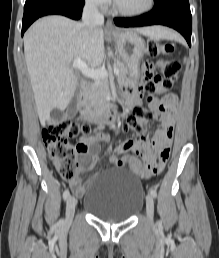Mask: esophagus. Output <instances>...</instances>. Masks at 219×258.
<instances>
[{"instance_id":"34e87169","label":"esophagus","mask_w":219,"mask_h":258,"mask_svg":"<svg viewBox=\"0 0 219 258\" xmlns=\"http://www.w3.org/2000/svg\"><path fill=\"white\" fill-rule=\"evenodd\" d=\"M106 30L111 32V33H114V32L117 31L111 21H107V23H106Z\"/></svg>"}]
</instances>
